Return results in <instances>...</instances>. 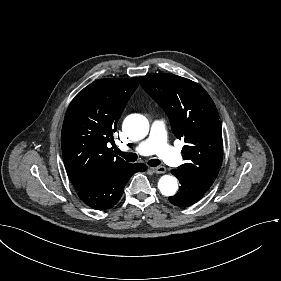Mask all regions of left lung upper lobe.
<instances>
[{
	"mask_svg": "<svg viewBox=\"0 0 281 281\" xmlns=\"http://www.w3.org/2000/svg\"><path fill=\"white\" fill-rule=\"evenodd\" d=\"M139 79L168 115L174 135L186 143L182 150L185 163L176 169L177 173L207 191L223 158L221 123L214 102L199 84L174 74Z\"/></svg>",
	"mask_w": 281,
	"mask_h": 281,
	"instance_id": "1",
	"label": "left lung upper lobe"
}]
</instances>
